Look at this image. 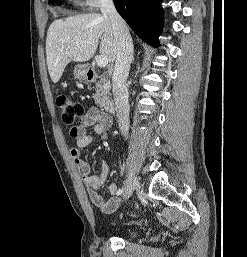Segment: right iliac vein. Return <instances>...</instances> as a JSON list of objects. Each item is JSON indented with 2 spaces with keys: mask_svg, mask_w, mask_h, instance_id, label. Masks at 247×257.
<instances>
[{
  "mask_svg": "<svg viewBox=\"0 0 247 257\" xmlns=\"http://www.w3.org/2000/svg\"><path fill=\"white\" fill-rule=\"evenodd\" d=\"M137 187H138V182L136 180V177L133 171L131 170L128 175V182L123 193V198L125 200L128 199L132 195V192L134 191V189H136Z\"/></svg>",
  "mask_w": 247,
  "mask_h": 257,
  "instance_id": "obj_1",
  "label": "right iliac vein"
}]
</instances>
